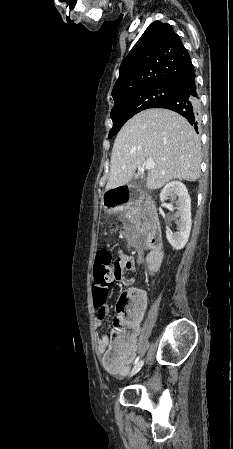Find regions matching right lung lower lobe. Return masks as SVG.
<instances>
[{"label":"right lung lower lobe","instance_id":"98d812e1","mask_svg":"<svg viewBox=\"0 0 233 449\" xmlns=\"http://www.w3.org/2000/svg\"><path fill=\"white\" fill-rule=\"evenodd\" d=\"M172 94L159 103L156 108H165L184 116L194 128L198 129L200 99L195 82V73L188 78L170 85Z\"/></svg>","mask_w":233,"mask_h":449}]
</instances>
